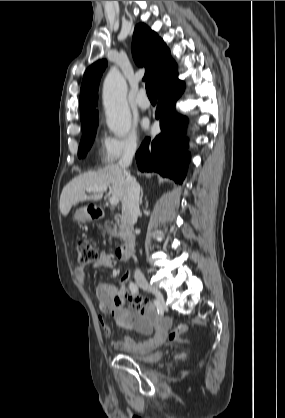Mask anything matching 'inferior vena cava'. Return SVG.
Masks as SVG:
<instances>
[{
  "label": "inferior vena cava",
  "instance_id": "inferior-vena-cava-1",
  "mask_svg": "<svg viewBox=\"0 0 285 418\" xmlns=\"http://www.w3.org/2000/svg\"><path fill=\"white\" fill-rule=\"evenodd\" d=\"M136 152V144L128 145L119 160L117 166L126 176L125 192L122 197V217L129 224L134 225L137 222L139 213V194L140 186L136 179L133 178L126 169L131 165L133 156ZM136 274H140V270L136 269Z\"/></svg>",
  "mask_w": 285,
  "mask_h": 418
}]
</instances>
